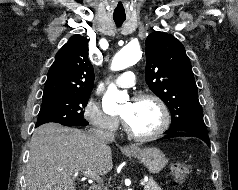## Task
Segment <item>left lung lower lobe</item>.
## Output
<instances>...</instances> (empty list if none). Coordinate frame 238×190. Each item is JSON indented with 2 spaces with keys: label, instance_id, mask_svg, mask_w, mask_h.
<instances>
[{
  "label": "left lung lower lobe",
  "instance_id": "0a47b994",
  "mask_svg": "<svg viewBox=\"0 0 238 190\" xmlns=\"http://www.w3.org/2000/svg\"><path fill=\"white\" fill-rule=\"evenodd\" d=\"M167 134L163 139L172 138L176 136H194L203 140L208 146H210V140L208 137L207 128L204 125L197 127H178L175 129H169L165 132Z\"/></svg>",
  "mask_w": 238,
  "mask_h": 190
}]
</instances>
